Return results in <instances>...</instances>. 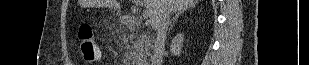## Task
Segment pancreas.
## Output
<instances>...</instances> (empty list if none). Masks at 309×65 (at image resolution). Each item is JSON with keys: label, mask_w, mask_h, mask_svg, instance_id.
I'll list each match as a JSON object with an SVG mask.
<instances>
[{"label": "pancreas", "mask_w": 309, "mask_h": 65, "mask_svg": "<svg viewBox=\"0 0 309 65\" xmlns=\"http://www.w3.org/2000/svg\"><path fill=\"white\" fill-rule=\"evenodd\" d=\"M131 47L129 48V58L136 61L151 48V41L145 33H136L131 37Z\"/></svg>", "instance_id": "obj_1"}]
</instances>
